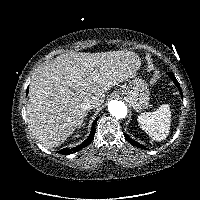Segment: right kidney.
I'll return each instance as SVG.
<instances>
[{"label":"right kidney","mask_w":200,"mask_h":200,"mask_svg":"<svg viewBox=\"0 0 200 200\" xmlns=\"http://www.w3.org/2000/svg\"><path fill=\"white\" fill-rule=\"evenodd\" d=\"M79 136H80L79 134H76L74 137H77V138H78Z\"/></svg>","instance_id":"obj_1"}]
</instances>
